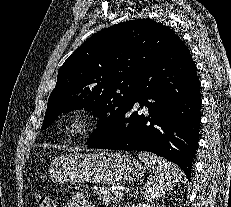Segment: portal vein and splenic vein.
Returning a JSON list of instances; mask_svg holds the SVG:
<instances>
[{
	"label": "portal vein and splenic vein",
	"instance_id": "18ae733b",
	"mask_svg": "<svg viewBox=\"0 0 231 207\" xmlns=\"http://www.w3.org/2000/svg\"><path fill=\"white\" fill-rule=\"evenodd\" d=\"M123 192H118L117 197L122 198L123 197Z\"/></svg>",
	"mask_w": 231,
	"mask_h": 207
}]
</instances>
